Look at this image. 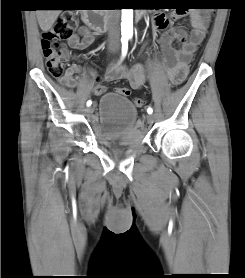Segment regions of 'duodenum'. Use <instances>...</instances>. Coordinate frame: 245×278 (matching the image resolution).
<instances>
[{
  "instance_id": "1",
  "label": "duodenum",
  "mask_w": 245,
  "mask_h": 278,
  "mask_svg": "<svg viewBox=\"0 0 245 278\" xmlns=\"http://www.w3.org/2000/svg\"><path fill=\"white\" fill-rule=\"evenodd\" d=\"M144 17V12L141 9L136 10V18L137 20H142ZM83 22L93 30H95L98 33H103L107 31L108 24L104 16L98 11H86L82 15Z\"/></svg>"
}]
</instances>
